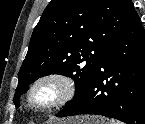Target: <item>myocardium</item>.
Returning <instances> with one entry per match:
<instances>
[{
  "mask_svg": "<svg viewBox=\"0 0 145 124\" xmlns=\"http://www.w3.org/2000/svg\"><path fill=\"white\" fill-rule=\"evenodd\" d=\"M52 91V97L47 101L37 99L44 90ZM76 94L75 81L68 75L59 72L44 74L34 80L25 94V103L34 112H47L69 103Z\"/></svg>",
  "mask_w": 145,
  "mask_h": 124,
  "instance_id": "f54148a6",
  "label": "myocardium"
}]
</instances>
